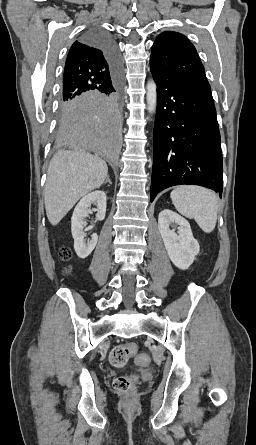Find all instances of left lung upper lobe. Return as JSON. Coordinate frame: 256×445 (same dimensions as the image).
Here are the masks:
<instances>
[{
    "mask_svg": "<svg viewBox=\"0 0 256 445\" xmlns=\"http://www.w3.org/2000/svg\"><path fill=\"white\" fill-rule=\"evenodd\" d=\"M150 65L153 70L178 75L196 86L211 90L195 47L180 33L166 31L156 38Z\"/></svg>",
    "mask_w": 256,
    "mask_h": 445,
    "instance_id": "obj_1",
    "label": "left lung upper lobe"
}]
</instances>
